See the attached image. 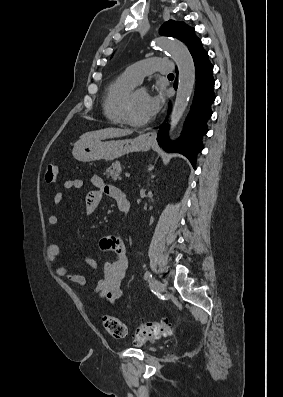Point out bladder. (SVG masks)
I'll list each match as a JSON object with an SVG mask.
<instances>
[{"label":"bladder","mask_w":283,"mask_h":397,"mask_svg":"<svg viewBox=\"0 0 283 397\" xmlns=\"http://www.w3.org/2000/svg\"><path fill=\"white\" fill-rule=\"evenodd\" d=\"M135 346H136L137 348H141L142 350L147 351V352H153V351H154V348H153V347H151V346H145V343H144V342L136 343Z\"/></svg>","instance_id":"31cf9c89"}]
</instances>
